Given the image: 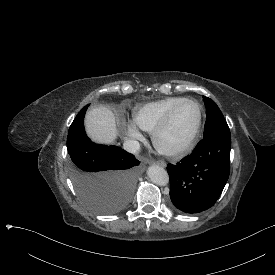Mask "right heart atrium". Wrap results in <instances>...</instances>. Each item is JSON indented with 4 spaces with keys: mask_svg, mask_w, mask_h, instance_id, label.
I'll use <instances>...</instances> for the list:
<instances>
[{
    "mask_svg": "<svg viewBox=\"0 0 275 275\" xmlns=\"http://www.w3.org/2000/svg\"><path fill=\"white\" fill-rule=\"evenodd\" d=\"M126 133L127 138L130 139H139L141 137L139 130L132 123L127 122Z\"/></svg>",
    "mask_w": 275,
    "mask_h": 275,
    "instance_id": "1",
    "label": "right heart atrium"
}]
</instances>
